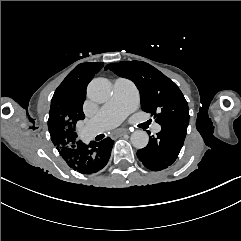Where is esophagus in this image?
<instances>
[{
  "instance_id": "esophagus-1",
  "label": "esophagus",
  "mask_w": 241,
  "mask_h": 241,
  "mask_svg": "<svg viewBox=\"0 0 241 241\" xmlns=\"http://www.w3.org/2000/svg\"><path fill=\"white\" fill-rule=\"evenodd\" d=\"M128 132H129L128 129L123 128V129H120L119 131L113 133L112 136L115 138V137H118L121 134H126Z\"/></svg>"
}]
</instances>
